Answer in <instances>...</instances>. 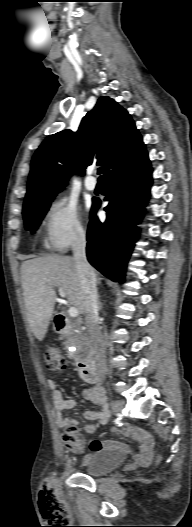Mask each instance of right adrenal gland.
<instances>
[{
    "mask_svg": "<svg viewBox=\"0 0 192 527\" xmlns=\"http://www.w3.org/2000/svg\"><path fill=\"white\" fill-rule=\"evenodd\" d=\"M98 307H99V310L102 309V303H101L100 300H99V296H98Z\"/></svg>",
    "mask_w": 192,
    "mask_h": 527,
    "instance_id": "obj_1",
    "label": "right adrenal gland"
}]
</instances>
